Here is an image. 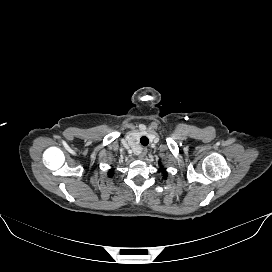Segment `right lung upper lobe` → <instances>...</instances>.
Instances as JSON below:
<instances>
[{
	"label": "right lung upper lobe",
	"instance_id": "obj_1",
	"mask_svg": "<svg viewBox=\"0 0 272 272\" xmlns=\"http://www.w3.org/2000/svg\"><path fill=\"white\" fill-rule=\"evenodd\" d=\"M109 177H111L113 175V170H109V173H108Z\"/></svg>",
	"mask_w": 272,
	"mask_h": 272
}]
</instances>
